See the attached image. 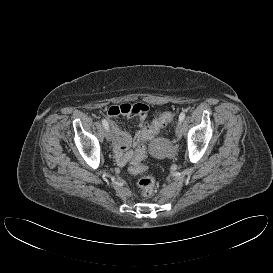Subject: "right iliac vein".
Here are the masks:
<instances>
[{
	"instance_id": "1",
	"label": "right iliac vein",
	"mask_w": 273,
	"mask_h": 273,
	"mask_svg": "<svg viewBox=\"0 0 273 273\" xmlns=\"http://www.w3.org/2000/svg\"><path fill=\"white\" fill-rule=\"evenodd\" d=\"M105 137H106V140L108 142H110L112 140V132L110 131V129H106V132H105Z\"/></svg>"
}]
</instances>
